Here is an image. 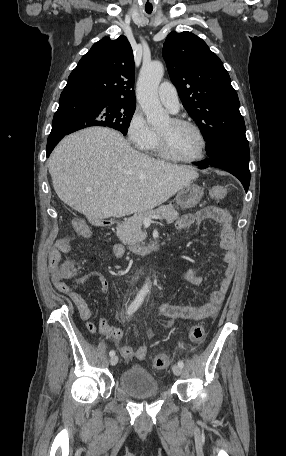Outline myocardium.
Listing matches in <instances>:
<instances>
[{
	"label": "myocardium",
	"mask_w": 286,
	"mask_h": 456,
	"mask_svg": "<svg viewBox=\"0 0 286 456\" xmlns=\"http://www.w3.org/2000/svg\"><path fill=\"white\" fill-rule=\"evenodd\" d=\"M173 123L179 126H187L196 131L198 134L200 140H201V151L199 155L196 157L192 158H180L172 154L168 148V144L166 139L162 134L157 132V138H158V150L159 154L168 160L175 161V162H180V163H197L203 160L207 154V149H208V141L207 138L203 132V130L194 122L182 118H172L171 119Z\"/></svg>",
	"instance_id": "f54148a6"
}]
</instances>
